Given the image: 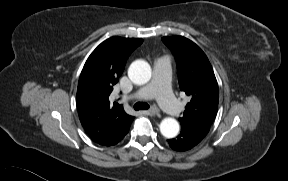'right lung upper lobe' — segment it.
I'll list each match as a JSON object with an SVG mask.
<instances>
[{"label":"right lung upper lobe","mask_w":288,"mask_h":181,"mask_svg":"<svg viewBox=\"0 0 288 181\" xmlns=\"http://www.w3.org/2000/svg\"><path fill=\"white\" fill-rule=\"evenodd\" d=\"M142 39L114 36L89 56L81 72L76 105L85 131L100 145L117 144L128 133L134 117L109 99L131 52Z\"/></svg>","instance_id":"cb5924a9"}]
</instances>
